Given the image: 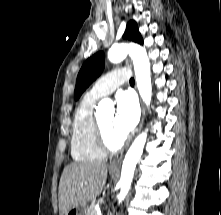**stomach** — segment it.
Here are the masks:
<instances>
[{
    "label": "stomach",
    "instance_id": "1",
    "mask_svg": "<svg viewBox=\"0 0 221 215\" xmlns=\"http://www.w3.org/2000/svg\"><path fill=\"white\" fill-rule=\"evenodd\" d=\"M111 174H114V171H110ZM87 205H81L76 208L69 210L65 215H86L87 214Z\"/></svg>",
    "mask_w": 221,
    "mask_h": 215
}]
</instances>
